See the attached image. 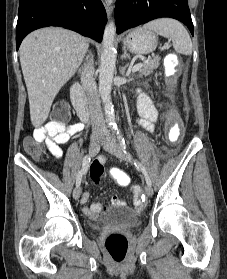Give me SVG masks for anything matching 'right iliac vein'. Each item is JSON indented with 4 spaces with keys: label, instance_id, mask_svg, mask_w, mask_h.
Returning <instances> with one entry per match:
<instances>
[{
    "label": "right iliac vein",
    "instance_id": "1",
    "mask_svg": "<svg viewBox=\"0 0 227 279\" xmlns=\"http://www.w3.org/2000/svg\"><path fill=\"white\" fill-rule=\"evenodd\" d=\"M99 142L96 141V140H93L90 142V145H89V154L91 157L95 156L96 153L98 152L99 150ZM80 195H81V190L79 187L75 188L74 191H73V198L75 200H78L80 198Z\"/></svg>",
    "mask_w": 227,
    "mask_h": 279
}]
</instances>
